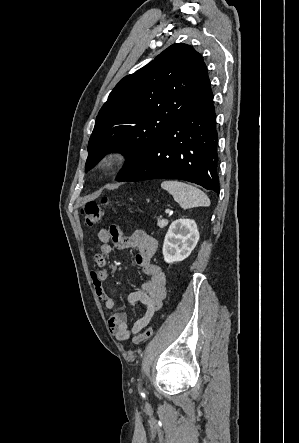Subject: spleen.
<instances>
[{
  "label": "spleen",
  "instance_id": "3e777b00",
  "mask_svg": "<svg viewBox=\"0 0 299 443\" xmlns=\"http://www.w3.org/2000/svg\"><path fill=\"white\" fill-rule=\"evenodd\" d=\"M161 188L169 192L182 208L210 206V199L200 189L180 181L167 180L161 183Z\"/></svg>",
  "mask_w": 299,
  "mask_h": 443
}]
</instances>
